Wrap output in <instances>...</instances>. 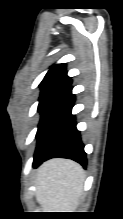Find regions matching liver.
Here are the masks:
<instances>
[{"label":"liver","mask_w":123,"mask_h":219,"mask_svg":"<svg viewBox=\"0 0 123 219\" xmlns=\"http://www.w3.org/2000/svg\"><path fill=\"white\" fill-rule=\"evenodd\" d=\"M85 179L83 168L68 159L54 158L37 170V202L46 212H71L79 204Z\"/></svg>","instance_id":"6515ba94"}]
</instances>
